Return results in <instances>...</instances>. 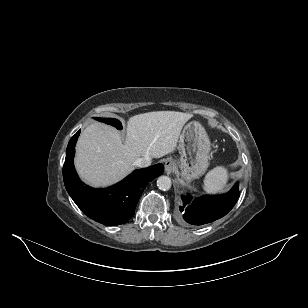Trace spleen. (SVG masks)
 Segmentation results:
<instances>
[{"label":"spleen","mask_w":308,"mask_h":308,"mask_svg":"<svg viewBox=\"0 0 308 308\" xmlns=\"http://www.w3.org/2000/svg\"><path fill=\"white\" fill-rule=\"evenodd\" d=\"M228 170L224 166H218L207 173L204 179L203 189L208 194L222 192L228 181Z\"/></svg>","instance_id":"3e777b00"}]
</instances>
